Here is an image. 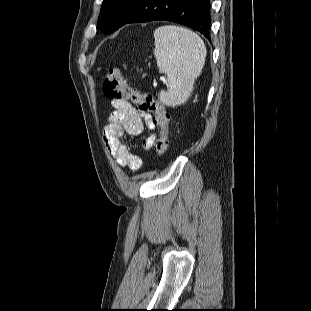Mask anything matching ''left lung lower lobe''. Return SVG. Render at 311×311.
<instances>
[{
  "label": "left lung lower lobe",
  "instance_id": "obj_1",
  "mask_svg": "<svg viewBox=\"0 0 311 311\" xmlns=\"http://www.w3.org/2000/svg\"><path fill=\"white\" fill-rule=\"evenodd\" d=\"M157 20L190 27L209 39L210 2L209 0H131L120 15L115 30L128 23Z\"/></svg>",
  "mask_w": 311,
  "mask_h": 311
}]
</instances>
